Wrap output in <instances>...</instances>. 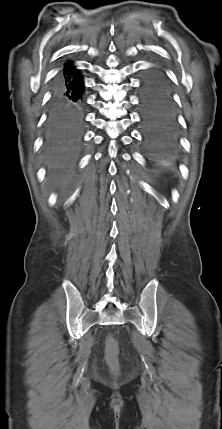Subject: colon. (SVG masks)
<instances>
[{"label": "colon", "mask_w": 222, "mask_h": 429, "mask_svg": "<svg viewBox=\"0 0 222 429\" xmlns=\"http://www.w3.org/2000/svg\"><path fill=\"white\" fill-rule=\"evenodd\" d=\"M117 353L118 350L116 340L112 336H109L107 339V362L110 370L114 374H117L119 371Z\"/></svg>", "instance_id": "colon-1"}]
</instances>
